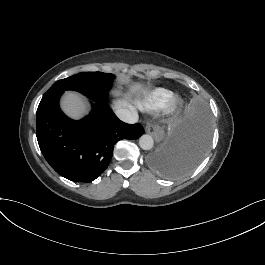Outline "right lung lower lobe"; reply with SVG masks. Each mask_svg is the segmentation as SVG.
<instances>
[{
  "mask_svg": "<svg viewBox=\"0 0 265 265\" xmlns=\"http://www.w3.org/2000/svg\"><path fill=\"white\" fill-rule=\"evenodd\" d=\"M63 92L45 94L37 109V140L40 150L61 176L91 182L108 167L114 145L121 139H137L144 128L118 119L105 101H95L91 113L72 120L59 107Z\"/></svg>",
  "mask_w": 265,
  "mask_h": 265,
  "instance_id": "98d812e1",
  "label": "right lung lower lobe"
}]
</instances>
